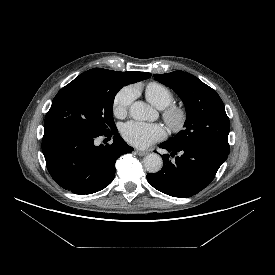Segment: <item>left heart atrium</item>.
Instances as JSON below:
<instances>
[{"label": "left heart atrium", "instance_id": "39dd6f15", "mask_svg": "<svg viewBox=\"0 0 275 275\" xmlns=\"http://www.w3.org/2000/svg\"><path fill=\"white\" fill-rule=\"evenodd\" d=\"M124 139L137 148H146L166 136L165 129L159 124L130 121L121 130Z\"/></svg>", "mask_w": 275, "mask_h": 275}]
</instances>
